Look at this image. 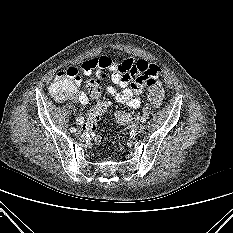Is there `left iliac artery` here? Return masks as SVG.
Masks as SVG:
<instances>
[{"label": "left iliac artery", "instance_id": "obj_1", "mask_svg": "<svg viewBox=\"0 0 233 233\" xmlns=\"http://www.w3.org/2000/svg\"><path fill=\"white\" fill-rule=\"evenodd\" d=\"M140 121H141L142 123H145V122H146V118H145V117H141Z\"/></svg>", "mask_w": 233, "mask_h": 233}]
</instances>
